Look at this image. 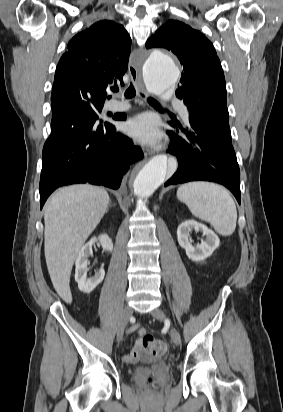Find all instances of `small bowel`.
<instances>
[{"label": "small bowel", "instance_id": "small-bowel-1", "mask_svg": "<svg viewBox=\"0 0 283 412\" xmlns=\"http://www.w3.org/2000/svg\"><path fill=\"white\" fill-rule=\"evenodd\" d=\"M130 332L138 331L139 335H144L145 330L140 329L138 324H134L129 329ZM147 357L144 347L142 345V340L138 339L129 354H127L124 358L125 362L133 363L137 362L141 359H145Z\"/></svg>", "mask_w": 283, "mask_h": 412}]
</instances>
